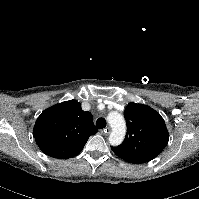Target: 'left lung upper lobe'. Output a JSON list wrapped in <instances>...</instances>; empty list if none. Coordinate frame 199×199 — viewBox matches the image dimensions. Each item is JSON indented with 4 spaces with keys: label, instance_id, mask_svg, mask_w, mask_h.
Segmentation results:
<instances>
[{
    "label": "left lung upper lobe",
    "instance_id": "1",
    "mask_svg": "<svg viewBox=\"0 0 199 199\" xmlns=\"http://www.w3.org/2000/svg\"><path fill=\"white\" fill-rule=\"evenodd\" d=\"M124 115L126 137L121 145L111 149L127 162L151 161L162 152L169 140L164 119L149 106L133 102L126 106Z\"/></svg>",
    "mask_w": 199,
    "mask_h": 199
}]
</instances>
